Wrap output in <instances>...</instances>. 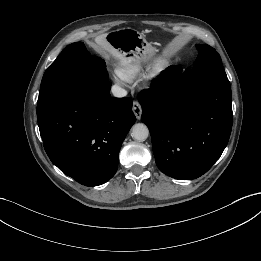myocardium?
<instances>
[{"instance_id": "obj_1", "label": "myocardium", "mask_w": 261, "mask_h": 261, "mask_svg": "<svg viewBox=\"0 0 261 261\" xmlns=\"http://www.w3.org/2000/svg\"><path fill=\"white\" fill-rule=\"evenodd\" d=\"M169 66L170 61L166 56H161L160 58H158L152 67L150 80H155L156 78H158L169 68Z\"/></svg>"}]
</instances>
